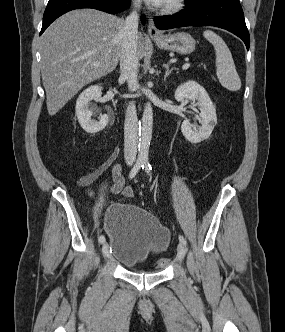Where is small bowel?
I'll return each instance as SVG.
<instances>
[{
  "mask_svg": "<svg viewBox=\"0 0 285 332\" xmlns=\"http://www.w3.org/2000/svg\"><path fill=\"white\" fill-rule=\"evenodd\" d=\"M100 171H95L89 174H86L79 178L78 180V185L80 187L86 188L88 191V194L90 196L93 195V191L90 188L91 184L97 179L99 176ZM112 177L114 180V183L110 185V191L112 193L118 194L122 193L125 196H131L133 191L130 187H125L124 186V178L121 173V166L119 164H115L112 167Z\"/></svg>",
  "mask_w": 285,
  "mask_h": 332,
  "instance_id": "1",
  "label": "small bowel"
}]
</instances>
